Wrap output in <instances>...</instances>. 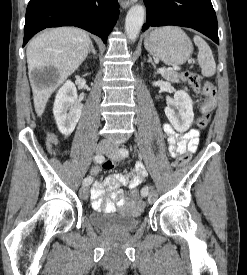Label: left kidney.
<instances>
[{
	"label": "left kidney",
	"mask_w": 247,
	"mask_h": 275,
	"mask_svg": "<svg viewBox=\"0 0 247 275\" xmlns=\"http://www.w3.org/2000/svg\"><path fill=\"white\" fill-rule=\"evenodd\" d=\"M164 111L176 131L185 132L190 128L194 119L193 102L186 92H175L172 103Z\"/></svg>",
	"instance_id": "1"
}]
</instances>
